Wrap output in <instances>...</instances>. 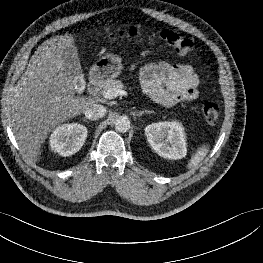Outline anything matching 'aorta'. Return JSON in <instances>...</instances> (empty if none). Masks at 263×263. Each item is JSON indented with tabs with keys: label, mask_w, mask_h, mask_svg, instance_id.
I'll return each instance as SVG.
<instances>
[{
	"label": "aorta",
	"mask_w": 263,
	"mask_h": 263,
	"mask_svg": "<svg viewBox=\"0 0 263 263\" xmlns=\"http://www.w3.org/2000/svg\"><path fill=\"white\" fill-rule=\"evenodd\" d=\"M115 129L120 133H125L130 129V121L127 117H120L115 122Z\"/></svg>",
	"instance_id": "762f6f07"
}]
</instances>
